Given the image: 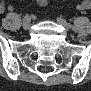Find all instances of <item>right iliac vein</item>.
<instances>
[{
    "label": "right iliac vein",
    "mask_w": 91,
    "mask_h": 91,
    "mask_svg": "<svg viewBox=\"0 0 91 91\" xmlns=\"http://www.w3.org/2000/svg\"><path fill=\"white\" fill-rule=\"evenodd\" d=\"M30 27H31V20L29 18L24 19L23 20V29L28 30V29H30Z\"/></svg>",
    "instance_id": "right-iliac-vein-1"
}]
</instances>
